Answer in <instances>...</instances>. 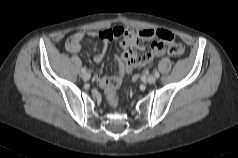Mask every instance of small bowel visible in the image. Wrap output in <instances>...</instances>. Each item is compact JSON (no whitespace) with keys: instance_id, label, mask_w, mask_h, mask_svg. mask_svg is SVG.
Returning <instances> with one entry per match:
<instances>
[{"instance_id":"small-bowel-1","label":"small bowel","mask_w":238,"mask_h":158,"mask_svg":"<svg viewBox=\"0 0 238 158\" xmlns=\"http://www.w3.org/2000/svg\"><path fill=\"white\" fill-rule=\"evenodd\" d=\"M114 37L122 36V53L118 56L119 66L117 74L113 77L103 76L98 74L96 76L97 83L100 88L104 89L107 93L110 87L111 80L121 82V77L125 73H130L134 68L143 67L152 62L156 57L163 56L166 52V43L173 39L171 32L164 29H134L115 27L110 29ZM88 37L89 39L100 38L99 33H85L77 32L73 35L76 40L74 45H67L70 52H77L80 49L81 42ZM157 39L152 43L149 51L138 54L137 51H143L144 46L141 40ZM104 40V45L101 51L94 56L95 62H101L105 56L107 44Z\"/></svg>"}]
</instances>
